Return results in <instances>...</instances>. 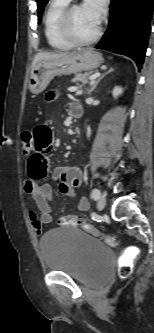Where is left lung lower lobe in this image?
Wrapping results in <instances>:
<instances>
[{"instance_id": "obj_1", "label": "left lung lower lobe", "mask_w": 154, "mask_h": 333, "mask_svg": "<svg viewBox=\"0 0 154 333\" xmlns=\"http://www.w3.org/2000/svg\"><path fill=\"white\" fill-rule=\"evenodd\" d=\"M154 0H112L109 26L98 49L132 58L141 68L150 35Z\"/></svg>"}]
</instances>
